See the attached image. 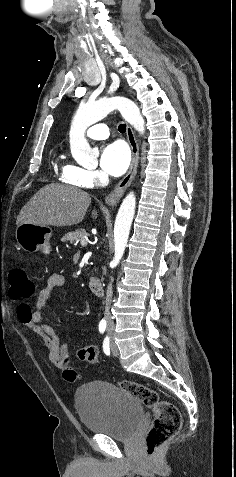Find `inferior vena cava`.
<instances>
[{
    "mask_svg": "<svg viewBox=\"0 0 236 477\" xmlns=\"http://www.w3.org/2000/svg\"><path fill=\"white\" fill-rule=\"evenodd\" d=\"M108 183V178L103 181V184ZM111 299H112V285L109 284L107 287V295H106V305H105V319L107 321L108 326H113V320L110 314V305H111Z\"/></svg>",
    "mask_w": 236,
    "mask_h": 477,
    "instance_id": "1",
    "label": "inferior vena cava"
}]
</instances>
